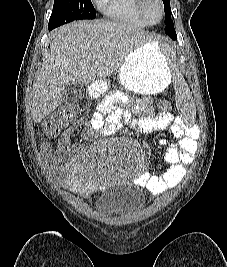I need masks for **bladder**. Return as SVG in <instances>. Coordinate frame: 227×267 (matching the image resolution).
Returning <instances> with one entry per match:
<instances>
[{
  "label": "bladder",
  "instance_id": "bladder-1",
  "mask_svg": "<svg viewBox=\"0 0 227 267\" xmlns=\"http://www.w3.org/2000/svg\"><path fill=\"white\" fill-rule=\"evenodd\" d=\"M128 190V187L122 186L103 191L95 201L96 210L106 218H117L136 212L144 205L145 199L136 192L127 195L118 194Z\"/></svg>",
  "mask_w": 227,
  "mask_h": 267
}]
</instances>
